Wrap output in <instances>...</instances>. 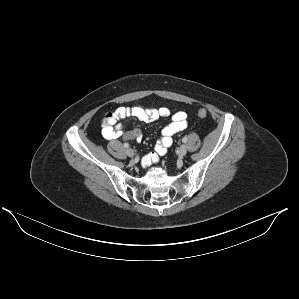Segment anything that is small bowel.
Here are the masks:
<instances>
[{
  "mask_svg": "<svg viewBox=\"0 0 299 299\" xmlns=\"http://www.w3.org/2000/svg\"><path fill=\"white\" fill-rule=\"evenodd\" d=\"M113 125L109 128H104L102 131L106 139L122 138L127 141H140L142 132L139 129H131L124 131L120 119L133 116L145 122L155 121L160 117H171L169 124L164 126L161 131V139L155 144L154 150L147 154L143 160V166L147 167L159 162L160 158L165 156L173 144V136L184 130L187 126V115L185 112H176L171 115V112L166 107L150 108L144 106L125 107L120 106L111 114Z\"/></svg>",
  "mask_w": 299,
  "mask_h": 299,
  "instance_id": "1",
  "label": "small bowel"
}]
</instances>
